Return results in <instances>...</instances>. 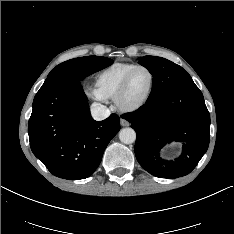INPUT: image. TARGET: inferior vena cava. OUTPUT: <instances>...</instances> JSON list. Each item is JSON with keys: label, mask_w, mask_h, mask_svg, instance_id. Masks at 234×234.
Masks as SVG:
<instances>
[{"label": "inferior vena cava", "mask_w": 234, "mask_h": 234, "mask_svg": "<svg viewBox=\"0 0 234 234\" xmlns=\"http://www.w3.org/2000/svg\"><path fill=\"white\" fill-rule=\"evenodd\" d=\"M91 115L94 120L102 121L106 119L107 117H109L110 110L106 106L100 103H93L91 105Z\"/></svg>", "instance_id": "602c4592"}]
</instances>
